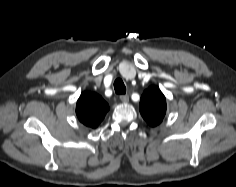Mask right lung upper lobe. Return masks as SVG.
Listing matches in <instances>:
<instances>
[{"instance_id":"right-lung-upper-lobe-1","label":"right lung upper lobe","mask_w":236,"mask_h":187,"mask_svg":"<svg viewBox=\"0 0 236 187\" xmlns=\"http://www.w3.org/2000/svg\"><path fill=\"white\" fill-rule=\"evenodd\" d=\"M109 110L101 96L92 92H83L77 101L76 114L86 126L96 128Z\"/></svg>"}]
</instances>
